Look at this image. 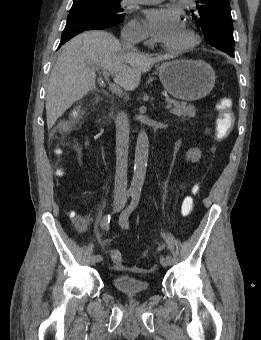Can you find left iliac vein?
<instances>
[{
    "instance_id": "left-iliac-vein-1",
    "label": "left iliac vein",
    "mask_w": 261,
    "mask_h": 340,
    "mask_svg": "<svg viewBox=\"0 0 261 340\" xmlns=\"http://www.w3.org/2000/svg\"><path fill=\"white\" fill-rule=\"evenodd\" d=\"M160 263L163 267H167L170 264L164 256L160 257Z\"/></svg>"
}]
</instances>
